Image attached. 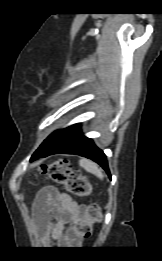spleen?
Wrapping results in <instances>:
<instances>
[{
  "label": "spleen",
  "mask_w": 162,
  "mask_h": 261,
  "mask_svg": "<svg viewBox=\"0 0 162 261\" xmlns=\"http://www.w3.org/2000/svg\"><path fill=\"white\" fill-rule=\"evenodd\" d=\"M79 165L82 168H84L87 172L94 174L100 179H103L104 176L102 170L98 167V165L95 162L88 159H80Z\"/></svg>",
  "instance_id": "3e777b00"
}]
</instances>
